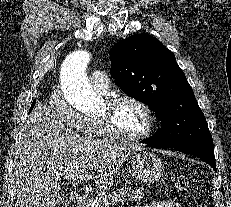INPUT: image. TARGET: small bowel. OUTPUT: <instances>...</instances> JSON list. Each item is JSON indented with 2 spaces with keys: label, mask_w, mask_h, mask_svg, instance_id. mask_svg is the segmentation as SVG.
I'll use <instances>...</instances> for the list:
<instances>
[{
  "label": "small bowel",
  "mask_w": 231,
  "mask_h": 207,
  "mask_svg": "<svg viewBox=\"0 0 231 207\" xmlns=\"http://www.w3.org/2000/svg\"><path fill=\"white\" fill-rule=\"evenodd\" d=\"M142 207H181L179 203L174 200L155 201Z\"/></svg>",
  "instance_id": "c3829d8e"
}]
</instances>
